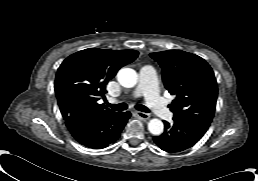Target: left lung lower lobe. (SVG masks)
Wrapping results in <instances>:
<instances>
[{
    "label": "left lung lower lobe",
    "mask_w": 258,
    "mask_h": 181,
    "mask_svg": "<svg viewBox=\"0 0 258 181\" xmlns=\"http://www.w3.org/2000/svg\"><path fill=\"white\" fill-rule=\"evenodd\" d=\"M173 120V124L164 121V133L153 138L156 145L167 152H180L192 147L209 127L192 120L178 118Z\"/></svg>",
    "instance_id": "left-lung-lower-lobe-1"
}]
</instances>
